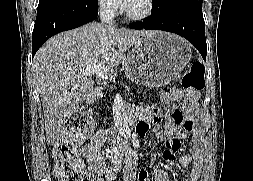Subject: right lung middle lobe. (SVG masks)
<instances>
[{
    "label": "right lung middle lobe",
    "instance_id": "right-lung-middle-lobe-1",
    "mask_svg": "<svg viewBox=\"0 0 253 181\" xmlns=\"http://www.w3.org/2000/svg\"><path fill=\"white\" fill-rule=\"evenodd\" d=\"M62 1H66V0H39V5L37 9H41V8H44L49 5L56 4ZM87 1H90L94 4H98V0H87Z\"/></svg>",
    "mask_w": 253,
    "mask_h": 181
}]
</instances>
